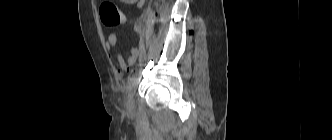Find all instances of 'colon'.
<instances>
[{"label": "colon", "instance_id": "colon-1", "mask_svg": "<svg viewBox=\"0 0 332 140\" xmlns=\"http://www.w3.org/2000/svg\"><path fill=\"white\" fill-rule=\"evenodd\" d=\"M99 13L105 26L114 27L126 22L125 16L119 7L110 1H105L100 5Z\"/></svg>", "mask_w": 332, "mask_h": 140}]
</instances>
